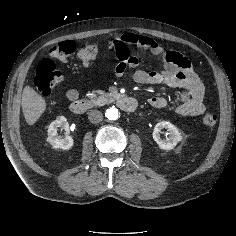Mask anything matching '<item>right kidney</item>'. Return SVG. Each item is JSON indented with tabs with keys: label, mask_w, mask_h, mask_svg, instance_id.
<instances>
[{
	"label": "right kidney",
	"mask_w": 236,
	"mask_h": 236,
	"mask_svg": "<svg viewBox=\"0 0 236 236\" xmlns=\"http://www.w3.org/2000/svg\"><path fill=\"white\" fill-rule=\"evenodd\" d=\"M64 127V129L68 132L69 125L67 119L64 116L57 117L48 127V137L47 141L55 148L62 150H69L74 145V140L71 136H66L62 138L57 133L58 127Z\"/></svg>",
	"instance_id": "1"
}]
</instances>
